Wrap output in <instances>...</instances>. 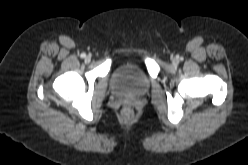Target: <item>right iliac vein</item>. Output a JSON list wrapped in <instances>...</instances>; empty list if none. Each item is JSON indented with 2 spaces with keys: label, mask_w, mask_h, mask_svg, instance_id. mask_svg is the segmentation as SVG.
Segmentation results:
<instances>
[{
  "label": "right iliac vein",
  "mask_w": 248,
  "mask_h": 165,
  "mask_svg": "<svg viewBox=\"0 0 248 165\" xmlns=\"http://www.w3.org/2000/svg\"><path fill=\"white\" fill-rule=\"evenodd\" d=\"M90 60H91V57L89 55L85 57L86 62H90Z\"/></svg>",
  "instance_id": "1"
}]
</instances>
